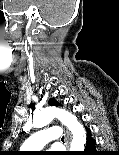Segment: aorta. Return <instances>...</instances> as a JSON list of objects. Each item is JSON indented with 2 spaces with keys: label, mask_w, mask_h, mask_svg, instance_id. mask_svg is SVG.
<instances>
[{
  "label": "aorta",
  "mask_w": 119,
  "mask_h": 155,
  "mask_svg": "<svg viewBox=\"0 0 119 155\" xmlns=\"http://www.w3.org/2000/svg\"><path fill=\"white\" fill-rule=\"evenodd\" d=\"M54 118L60 120L72 133L70 151H83L86 144V133L76 116L64 109L47 107L38 111L33 117V127L42 128L48 125Z\"/></svg>",
  "instance_id": "762f6f07"
}]
</instances>
